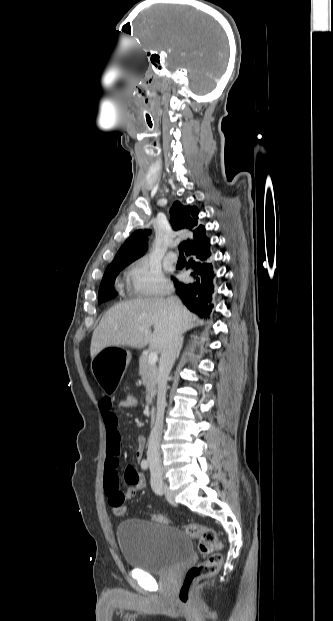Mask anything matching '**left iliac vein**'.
Segmentation results:
<instances>
[{
  "label": "left iliac vein",
  "mask_w": 333,
  "mask_h": 621,
  "mask_svg": "<svg viewBox=\"0 0 333 621\" xmlns=\"http://www.w3.org/2000/svg\"><path fill=\"white\" fill-rule=\"evenodd\" d=\"M151 480L155 481L157 483V490H156V492L159 493V494H162V492H163L162 478L160 476H158L156 474V472L152 471V473H151Z\"/></svg>",
  "instance_id": "obj_1"
}]
</instances>
